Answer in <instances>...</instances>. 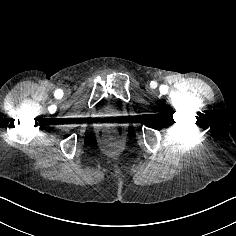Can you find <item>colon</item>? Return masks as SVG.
<instances>
[{
  "label": "colon",
  "instance_id": "1",
  "mask_svg": "<svg viewBox=\"0 0 236 236\" xmlns=\"http://www.w3.org/2000/svg\"><path fill=\"white\" fill-rule=\"evenodd\" d=\"M116 149H117V145H113L112 150H116Z\"/></svg>",
  "mask_w": 236,
  "mask_h": 236
}]
</instances>
